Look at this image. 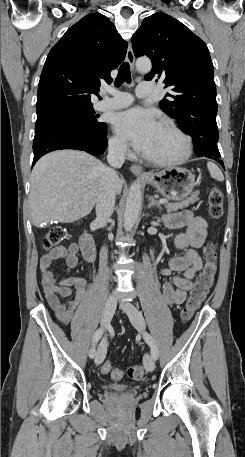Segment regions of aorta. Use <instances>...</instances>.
Returning <instances> with one entry per match:
<instances>
[{"label":"aorta","mask_w":245,"mask_h":457,"mask_svg":"<svg viewBox=\"0 0 245 457\" xmlns=\"http://www.w3.org/2000/svg\"><path fill=\"white\" fill-rule=\"evenodd\" d=\"M152 64L150 59L141 58L136 61V69L139 72L147 73L151 70ZM142 192L140 185L134 183L129 189V193L126 199L125 212H124V229L130 231L135 225L140 208H141Z\"/></svg>","instance_id":"1"}]
</instances>
